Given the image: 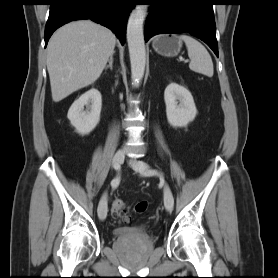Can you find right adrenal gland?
<instances>
[{
	"label": "right adrenal gland",
	"mask_w": 278,
	"mask_h": 278,
	"mask_svg": "<svg viewBox=\"0 0 278 278\" xmlns=\"http://www.w3.org/2000/svg\"><path fill=\"white\" fill-rule=\"evenodd\" d=\"M115 52H113L111 55H110V58H109V64L105 67V70H107L108 68H110L111 70L113 69V55H114Z\"/></svg>",
	"instance_id": "2a0ac1e0"
}]
</instances>
